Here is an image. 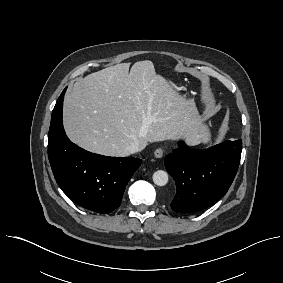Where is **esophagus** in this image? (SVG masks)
I'll return each instance as SVG.
<instances>
[{
  "label": "esophagus",
  "instance_id": "1",
  "mask_svg": "<svg viewBox=\"0 0 283 283\" xmlns=\"http://www.w3.org/2000/svg\"><path fill=\"white\" fill-rule=\"evenodd\" d=\"M163 154H164V151L161 148L156 149L155 152H154V156L156 158H161L163 156Z\"/></svg>",
  "mask_w": 283,
  "mask_h": 283
}]
</instances>
